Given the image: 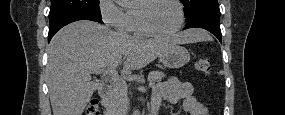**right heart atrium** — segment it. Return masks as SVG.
Instances as JSON below:
<instances>
[{
	"label": "right heart atrium",
	"mask_w": 285,
	"mask_h": 115,
	"mask_svg": "<svg viewBox=\"0 0 285 115\" xmlns=\"http://www.w3.org/2000/svg\"><path fill=\"white\" fill-rule=\"evenodd\" d=\"M100 13L106 24L121 31H127V12L116 1H100Z\"/></svg>",
	"instance_id": "d8ad5b80"
}]
</instances>
